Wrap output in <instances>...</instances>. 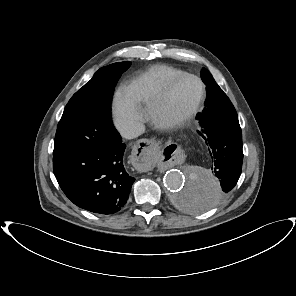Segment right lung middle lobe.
<instances>
[{
    "mask_svg": "<svg viewBox=\"0 0 296 296\" xmlns=\"http://www.w3.org/2000/svg\"><path fill=\"white\" fill-rule=\"evenodd\" d=\"M130 62L100 68L67 103L59 121L53 156L100 146L109 147L120 140L110 115L115 86Z\"/></svg>",
    "mask_w": 296,
    "mask_h": 296,
    "instance_id": "obj_1",
    "label": "right lung middle lobe"
}]
</instances>
